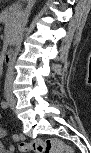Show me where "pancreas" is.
Here are the masks:
<instances>
[{
	"instance_id": "obj_1",
	"label": "pancreas",
	"mask_w": 91,
	"mask_h": 153,
	"mask_svg": "<svg viewBox=\"0 0 91 153\" xmlns=\"http://www.w3.org/2000/svg\"><path fill=\"white\" fill-rule=\"evenodd\" d=\"M2 22L10 34V42L13 43L21 24V14L16 6L9 7L1 13Z\"/></svg>"
}]
</instances>
